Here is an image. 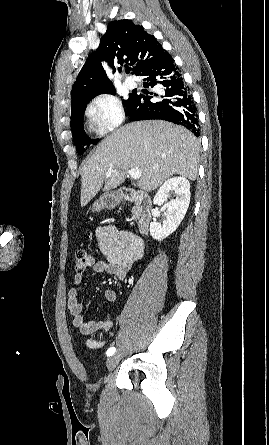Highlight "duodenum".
Instances as JSON below:
<instances>
[{
	"label": "duodenum",
	"instance_id": "1",
	"mask_svg": "<svg viewBox=\"0 0 269 445\" xmlns=\"http://www.w3.org/2000/svg\"><path fill=\"white\" fill-rule=\"evenodd\" d=\"M119 197L125 201L134 202L137 206V225L143 234H147L152 217V201L150 196L139 190L123 188Z\"/></svg>",
	"mask_w": 269,
	"mask_h": 445
}]
</instances>
